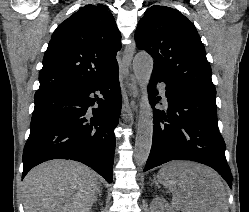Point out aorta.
Masks as SVG:
<instances>
[{"mask_svg": "<svg viewBox=\"0 0 249 212\" xmlns=\"http://www.w3.org/2000/svg\"><path fill=\"white\" fill-rule=\"evenodd\" d=\"M153 70V59L147 53H138L133 60V72L141 90L140 110L135 140L134 159L142 166L146 163L153 137V117L147 86Z\"/></svg>", "mask_w": 249, "mask_h": 212, "instance_id": "762f6f07", "label": "aorta"}]
</instances>
